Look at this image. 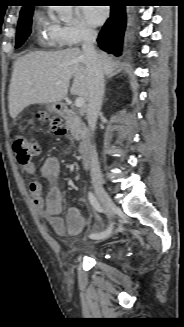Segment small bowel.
Segmentation results:
<instances>
[{"mask_svg": "<svg viewBox=\"0 0 184 327\" xmlns=\"http://www.w3.org/2000/svg\"><path fill=\"white\" fill-rule=\"evenodd\" d=\"M24 170L26 173L34 175L36 166L34 163H30L24 166ZM60 172V162L55 157L47 158L40 169L41 176L53 182L59 179ZM29 190L34 206L41 211L42 216L49 221L56 233L76 236L82 232L86 220L78 208H69L65 218L61 216L64 208V196L58 187L51 188L45 196L41 182L34 179L29 184Z\"/></svg>", "mask_w": 184, "mask_h": 327, "instance_id": "1", "label": "small bowel"}]
</instances>
